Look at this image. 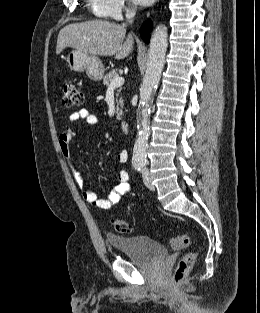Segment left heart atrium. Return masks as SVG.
<instances>
[{"instance_id": "1", "label": "left heart atrium", "mask_w": 260, "mask_h": 313, "mask_svg": "<svg viewBox=\"0 0 260 313\" xmlns=\"http://www.w3.org/2000/svg\"><path fill=\"white\" fill-rule=\"evenodd\" d=\"M136 4L140 6H147L149 5L153 0H133Z\"/></svg>"}]
</instances>
